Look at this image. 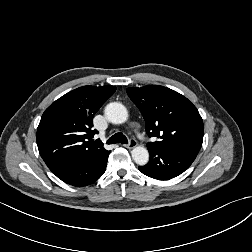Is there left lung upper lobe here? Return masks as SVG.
<instances>
[{"mask_svg": "<svg viewBox=\"0 0 252 252\" xmlns=\"http://www.w3.org/2000/svg\"><path fill=\"white\" fill-rule=\"evenodd\" d=\"M126 92L142 113L148 136L159 139L147 143L148 150L198 154L203 142V121L186 97L159 85L130 87Z\"/></svg>", "mask_w": 252, "mask_h": 252, "instance_id": "left-lung-upper-lobe-1", "label": "left lung upper lobe"}]
</instances>
